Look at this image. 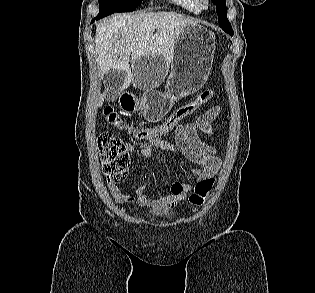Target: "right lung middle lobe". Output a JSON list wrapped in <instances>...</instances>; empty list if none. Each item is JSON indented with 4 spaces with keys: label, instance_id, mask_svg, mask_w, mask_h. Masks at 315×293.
I'll list each match as a JSON object with an SVG mask.
<instances>
[{
    "label": "right lung middle lobe",
    "instance_id": "dd1d6c3e",
    "mask_svg": "<svg viewBox=\"0 0 315 293\" xmlns=\"http://www.w3.org/2000/svg\"><path fill=\"white\" fill-rule=\"evenodd\" d=\"M142 0H99V13L134 11Z\"/></svg>",
    "mask_w": 315,
    "mask_h": 293
}]
</instances>
